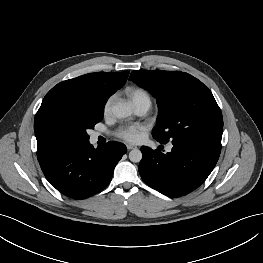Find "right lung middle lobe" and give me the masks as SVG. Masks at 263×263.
<instances>
[{
  "mask_svg": "<svg viewBox=\"0 0 263 263\" xmlns=\"http://www.w3.org/2000/svg\"><path fill=\"white\" fill-rule=\"evenodd\" d=\"M104 106V101H92L73 107H52L36 114L34 131L38 161L89 141L87 130L102 120Z\"/></svg>",
  "mask_w": 263,
  "mask_h": 263,
  "instance_id": "right-lung-middle-lobe-1",
  "label": "right lung middle lobe"
}]
</instances>
